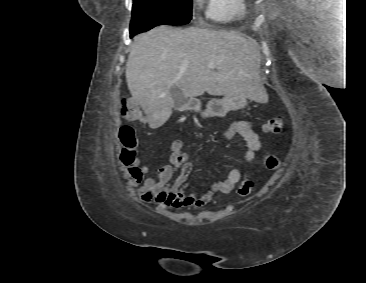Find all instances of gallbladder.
Listing matches in <instances>:
<instances>
[{
    "label": "gallbladder",
    "instance_id": "bac80fb5",
    "mask_svg": "<svg viewBox=\"0 0 366 283\" xmlns=\"http://www.w3.org/2000/svg\"><path fill=\"white\" fill-rule=\"evenodd\" d=\"M170 95L175 102L174 109L178 110V109L182 108L185 103V97H184L183 93L181 92V90L178 87L174 86L170 90Z\"/></svg>",
    "mask_w": 366,
    "mask_h": 283
}]
</instances>
